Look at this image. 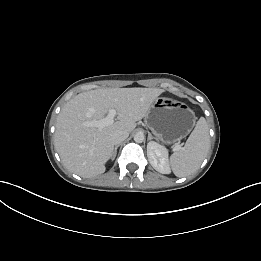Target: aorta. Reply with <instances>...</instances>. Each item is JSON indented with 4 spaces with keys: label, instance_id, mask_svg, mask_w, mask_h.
I'll list each match as a JSON object with an SVG mask.
<instances>
[{
    "label": "aorta",
    "instance_id": "aorta-1",
    "mask_svg": "<svg viewBox=\"0 0 261 261\" xmlns=\"http://www.w3.org/2000/svg\"><path fill=\"white\" fill-rule=\"evenodd\" d=\"M134 141L136 143H142L144 141V134L141 132H138L134 135Z\"/></svg>",
    "mask_w": 261,
    "mask_h": 261
}]
</instances>
